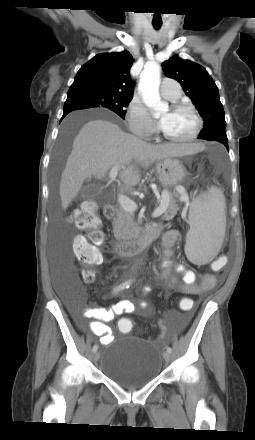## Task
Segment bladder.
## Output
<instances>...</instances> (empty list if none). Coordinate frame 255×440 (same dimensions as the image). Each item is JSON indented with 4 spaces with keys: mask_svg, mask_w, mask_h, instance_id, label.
<instances>
[{
    "mask_svg": "<svg viewBox=\"0 0 255 440\" xmlns=\"http://www.w3.org/2000/svg\"><path fill=\"white\" fill-rule=\"evenodd\" d=\"M106 344L101 371L126 390H138L154 381L162 369V354L151 342L124 337Z\"/></svg>",
    "mask_w": 255,
    "mask_h": 440,
    "instance_id": "31cf9c89",
    "label": "bladder"
}]
</instances>
